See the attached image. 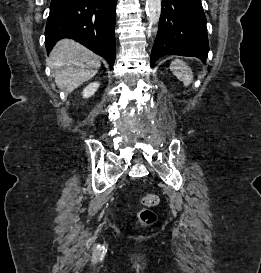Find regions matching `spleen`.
<instances>
[{
    "instance_id": "3e777b00",
    "label": "spleen",
    "mask_w": 261,
    "mask_h": 273,
    "mask_svg": "<svg viewBox=\"0 0 261 273\" xmlns=\"http://www.w3.org/2000/svg\"><path fill=\"white\" fill-rule=\"evenodd\" d=\"M172 73L188 87L193 80L191 68L182 60L176 59L170 64Z\"/></svg>"
}]
</instances>
